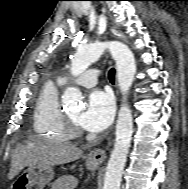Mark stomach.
I'll return each mask as SVG.
<instances>
[{
	"label": "stomach",
	"mask_w": 188,
	"mask_h": 189,
	"mask_svg": "<svg viewBox=\"0 0 188 189\" xmlns=\"http://www.w3.org/2000/svg\"><path fill=\"white\" fill-rule=\"evenodd\" d=\"M89 170H95L98 163L91 161L86 162ZM54 178V171L52 166H43L37 164L29 166L20 174L11 185V189H44V187ZM64 178L61 182H64Z\"/></svg>",
	"instance_id": "0dacf381"
}]
</instances>
